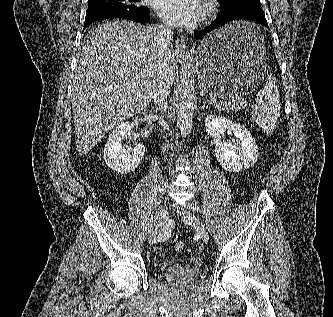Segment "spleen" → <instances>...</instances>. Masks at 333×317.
Masks as SVG:
<instances>
[{"mask_svg":"<svg viewBox=\"0 0 333 317\" xmlns=\"http://www.w3.org/2000/svg\"><path fill=\"white\" fill-rule=\"evenodd\" d=\"M256 106L252 110V119L267 134L275 130L280 117V94L276 79L269 76L255 97Z\"/></svg>","mask_w":333,"mask_h":317,"instance_id":"spleen-1","label":"spleen"}]
</instances>
